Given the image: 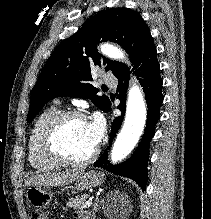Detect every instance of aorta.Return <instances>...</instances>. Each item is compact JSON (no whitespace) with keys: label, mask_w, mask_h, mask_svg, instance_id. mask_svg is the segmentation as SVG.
<instances>
[{"label":"aorta","mask_w":211,"mask_h":219,"mask_svg":"<svg viewBox=\"0 0 211 219\" xmlns=\"http://www.w3.org/2000/svg\"><path fill=\"white\" fill-rule=\"evenodd\" d=\"M101 51L109 58L124 59V53L110 44L102 45ZM146 115L147 111L142 92L135 84L129 90L125 122L111 151L113 163L121 161L133 150L143 133Z\"/></svg>","instance_id":"aorta-1"}]
</instances>
